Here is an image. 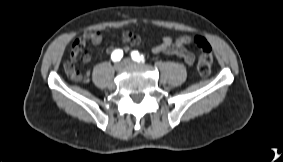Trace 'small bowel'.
Wrapping results in <instances>:
<instances>
[{"label":"small bowel","instance_id":"obj_1","mask_svg":"<svg viewBox=\"0 0 283 162\" xmlns=\"http://www.w3.org/2000/svg\"><path fill=\"white\" fill-rule=\"evenodd\" d=\"M102 40L103 35L100 31H87L74 41L70 57L64 65L65 71L70 77V73L76 71L75 65L77 61L80 60L83 63H88L91 60L90 53L83 51L85 44L87 42H90L93 45H99ZM121 40L124 43L131 45H138L141 41L139 35L131 31L123 32ZM191 41V37L187 35L180 36L178 38L165 36L158 45L153 47L152 52L154 54H168L178 56L182 58L187 65L192 66L195 62V56L186 47L191 43Z\"/></svg>","mask_w":283,"mask_h":162}]
</instances>
